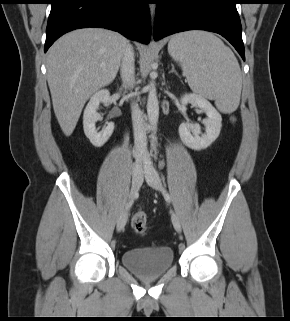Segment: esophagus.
<instances>
[{
  "label": "esophagus",
  "instance_id": "obj_1",
  "mask_svg": "<svg viewBox=\"0 0 290 321\" xmlns=\"http://www.w3.org/2000/svg\"><path fill=\"white\" fill-rule=\"evenodd\" d=\"M149 8H150L151 17H152V19H153L154 14H155V5H150Z\"/></svg>",
  "mask_w": 290,
  "mask_h": 321
}]
</instances>
